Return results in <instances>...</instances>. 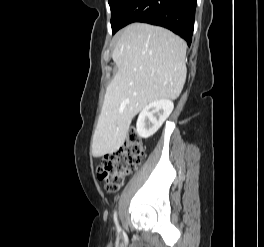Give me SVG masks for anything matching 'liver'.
I'll use <instances>...</instances> for the list:
<instances>
[{
    "mask_svg": "<svg viewBox=\"0 0 264 247\" xmlns=\"http://www.w3.org/2000/svg\"><path fill=\"white\" fill-rule=\"evenodd\" d=\"M186 47L162 27L133 23L121 31L112 52L118 71L106 89L93 135L94 157L116 152L147 104L179 97L187 73Z\"/></svg>",
    "mask_w": 264,
    "mask_h": 247,
    "instance_id": "liver-1",
    "label": "liver"
}]
</instances>
